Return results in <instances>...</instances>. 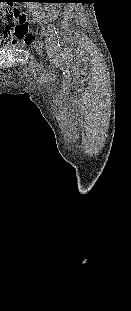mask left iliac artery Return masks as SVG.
Here are the masks:
<instances>
[{
  "label": "left iliac artery",
  "mask_w": 131,
  "mask_h": 311,
  "mask_svg": "<svg viewBox=\"0 0 131 311\" xmlns=\"http://www.w3.org/2000/svg\"><path fill=\"white\" fill-rule=\"evenodd\" d=\"M48 36H49V41L51 42L54 49L58 50L60 48L59 36L53 24L48 25Z\"/></svg>",
  "instance_id": "44dca946"
}]
</instances>
